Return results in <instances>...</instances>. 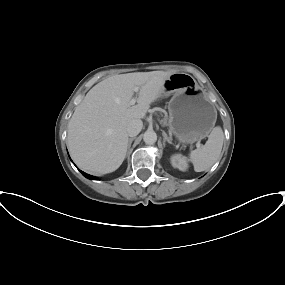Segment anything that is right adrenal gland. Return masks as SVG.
I'll return each mask as SVG.
<instances>
[{
	"mask_svg": "<svg viewBox=\"0 0 285 285\" xmlns=\"http://www.w3.org/2000/svg\"><path fill=\"white\" fill-rule=\"evenodd\" d=\"M134 139H135V138H130V139H129L128 147H127L128 151L130 150L131 144H132V142H133Z\"/></svg>",
	"mask_w": 285,
	"mask_h": 285,
	"instance_id": "1",
	"label": "right adrenal gland"
}]
</instances>
